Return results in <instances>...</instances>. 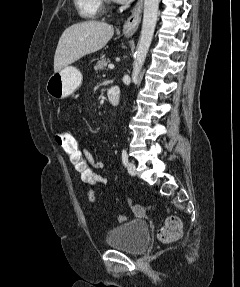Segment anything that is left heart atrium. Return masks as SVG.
<instances>
[{
	"label": "left heart atrium",
	"instance_id": "1",
	"mask_svg": "<svg viewBox=\"0 0 240 287\" xmlns=\"http://www.w3.org/2000/svg\"><path fill=\"white\" fill-rule=\"evenodd\" d=\"M117 1H121V2H129L131 0H117Z\"/></svg>",
	"mask_w": 240,
	"mask_h": 287
}]
</instances>
